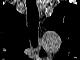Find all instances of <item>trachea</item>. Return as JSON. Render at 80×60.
Listing matches in <instances>:
<instances>
[{
	"instance_id": "trachea-1",
	"label": "trachea",
	"mask_w": 80,
	"mask_h": 60,
	"mask_svg": "<svg viewBox=\"0 0 80 60\" xmlns=\"http://www.w3.org/2000/svg\"><path fill=\"white\" fill-rule=\"evenodd\" d=\"M27 15H28V33L32 46H38V27H39V12L36 6V0H26Z\"/></svg>"
}]
</instances>
